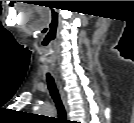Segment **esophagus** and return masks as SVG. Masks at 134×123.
I'll use <instances>...</instances> for the list:
<instances>
[{
  "mask_svg": "<svg viewBox=\"0 0 134 123\" xmlns=\"http://www.w3.org/2000/svg\"><path fill=\"white\" fill-rule=\"evenodd\" d=\"M57 84L59 87V91H60V95H61V98L63 100V103H64L65 107L67 108V96H66L64 90L62 89V86L58 80H57Z\"/></svg>",
  "mask_w": 134,
  "mask_h": 123,
  "instance_id": "esophagus-1",
  "label": "esophagus"
}]
</instances>
